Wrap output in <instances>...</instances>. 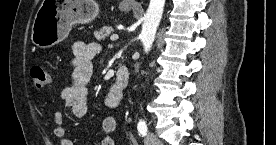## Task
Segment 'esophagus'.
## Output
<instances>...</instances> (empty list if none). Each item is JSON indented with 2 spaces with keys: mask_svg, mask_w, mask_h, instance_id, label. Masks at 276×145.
I'll list each match as a JSON object with an SVG mask.
<instances>
[{
  "mask_svg": "<svg viewBox=\"0 0 276 145\" xmlns=\"http://www.w3.org/2000/svg\"><path fill=\"white\" fill-rule=\"evenodd\" d=\"M125 2L131 5H138V3L135 0H126Z\"/></svg>",
  "mask_w": 276,
  "mask_h": 145,
  "instance_id": "esophagus-1",
  "label": "esophagus"
}]
</instances>
